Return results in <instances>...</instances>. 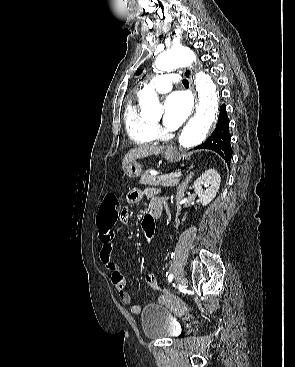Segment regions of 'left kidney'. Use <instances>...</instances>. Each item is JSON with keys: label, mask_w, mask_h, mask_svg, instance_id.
Here are the masks:
<instances>
[{"label": "left kidney", "mask_w": 295, "mask_h": 367, "mask_svg": "<svg viewBox=\"0 0 295 367\" xmlns=\"http://www.w3.org/2000/svg\"><path fill=\"white\" fill-rule=\"evenodd\" d=\"M221 177L215 169L206 170L193 185L194 192L198 195L203 206L208 205L216 196L220 187ZM205 188V189H204Z\"/></svg>", "instance_id": "5707ae66"}]
</instances>
